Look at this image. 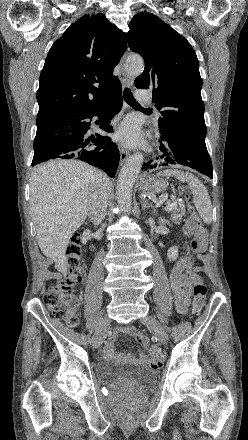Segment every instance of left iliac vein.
<instances>
[{"label":"left iliac vein","mask_w":248,"mask_h":440,"mask_svg":"<svg viewBox=\"0 0 248 440\" xmlns=\"http://www.w3.org/2000/svg\"><path fill=\"white\" fill-rule=\"evenodd\" d=\"M141 322L144 325H146L156 335V337L162 344H167L168 335L165 332L163 326L154 316L147 315L141 319Z\"/></svg>","instance_id":"obj_1"}]
</instances>
